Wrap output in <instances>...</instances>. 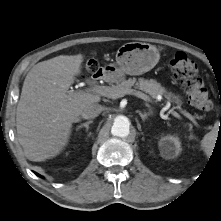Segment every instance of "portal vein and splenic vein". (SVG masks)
Masks as SVG:
<instances>
[{
  "mask_svg": "<svg viewBox=\"0 0 221 221\" xmlns=\"http://www.w3.org/2000/svg\"><path fill=\"white\" fill-rule=\"evenodd\" d=\"M89 92H93V93H98L102 96H105V97H108V98H113V99H116V98H119V97H123L125 95H134L146 102H151V99L149 96H147L146 94L142 93L141 91H137V90H134V89H128V90H123V91H120V92H116L114 91L111 87L109 86H99V85H95L91 88L88 89ZM158 97V96H157ZM168 108H165V110H167ZM170 113L179 118L180 115L174 111V110H170ZM181 113L186 116L189 120H191L194 124H197L195 118L188 112L186 111H181Z\"/></svg>",
  "mask_w": 221,
  "mask_h": 221,
  "instance_id": "obj_1",
  "label": "portal vein and splenic vein"
}]
</instances>
